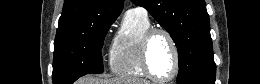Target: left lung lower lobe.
I'll use <instances>...</instances> for the list:
<instances>
[{"mask_svg":"<svg viewBox=\"0 0 260 84\" xmlns=\"http://www.w3.org/2000/svg\"><path fill=\"white\" fill-rule=\"evenodd\" d=\"M193 84H215V83H208V82H194Z\"/></svg>","mask_w":260,"mask_h":84,"instance_id":"obj_1","label":"left lung lower lobe"}]
</instances>
